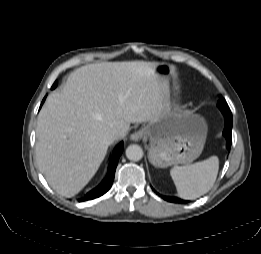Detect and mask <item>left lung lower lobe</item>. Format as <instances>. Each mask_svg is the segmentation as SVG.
I'll list each match as a JSON object with an SVG mask.
<instances>
[{"label":"left lung lower lobe","mask_w":261,"mask_h":254,"mask_svg":"<svg viewBox=\"0 0 261 254\" xmlns=\"http://www.w3.org/2000/svg\"><path fill=\"white\" fill-rule=\"evenodd\" d=\"M225 117V128L223 131V135L225 136L227 143H226V147L228 150H230L231 147V143H232V123H233V119H232V114H228V113H223ZM163 199H165L166 201L169 202H174V203H186L187 201L182 200L180 198L177 197H170V196H161Z\"/></svg>","instance_id":"1"}]
</instances>
